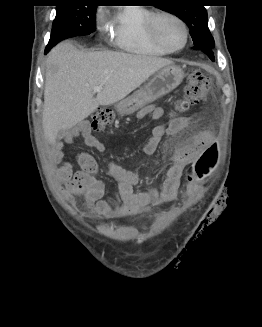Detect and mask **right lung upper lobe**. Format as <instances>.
<instances>
[{
  "instance_id": "1",
  "label": "right lung upper lobe",
  "mask_w": 262,
  "mask_h": 327,
  "mask_svg": "<svg viewBox=\"0 0 262 327\" xmlns=\"http://www.w3.org/2000/svg\"><path fill=\"white\" fill-rule=\"evenodd\" d=\"M60 3L61 2H71V1H80V0H58Z\"/></svg>"
}]
</instances>
